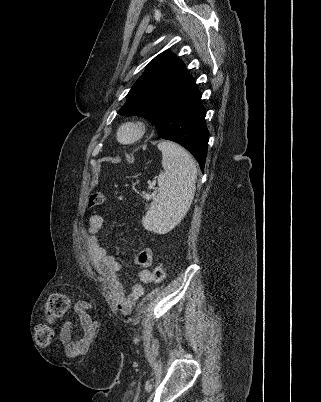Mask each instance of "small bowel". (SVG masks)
<instances>
[{"mask_svg":"<svg viewBox=\"0 0 321 402\" xmlns=\"http://www.w3.org/2000/svg\"><path fill=\"white\" fill-rule=\"evenodd\" d=\"M104 224V217L100 214H93L89 219L88 242L90 254L98 273L104 277L108 283L110 292L115 300L117 307L124 313L129 314L133 306L144 294V287L152 282L151 273L148 267L152 263L151 249L140 251L134 258V263L140 267L138 274L139 282L131 287L128 294L125 293L124 285L118 273L121 262L115 254L107 252L99 236V232ZM94 305L91 302H79L74 313L80 319L82 330L79 333L81 344H75L70 337L68 329L73 328L72 320H63L60 338L67 353L74 358H83L88 347L92 346L91 335H94L97 327L96 320H91V313Z\"/></svg>","mask_w":321,"mask_h":402,"instance_id":"c3829d8e","label":"small bowel"}]
</instances>
